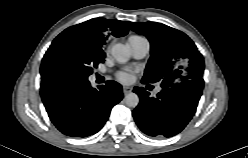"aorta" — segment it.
Returning a JSON list of instances; mask_svg holds the SVG:
<instances>
[{"instance_id": "obj_1", "label": "aorta", "mask_w": 248, "mask_h": 158, "mask_svg": "<svg viewBox=\"0 0 248 158\" xmlns=\"http://www.w3.org/2000/svg\"><path fill=\"white\" fill-rule=\"evenodd\" d=\"M111 54L119 63H126L131 56L129 49L121 43L113 45ZM138 103L139 97L136 93L131 92L125 96V104L127 106L135 108Z\"/></svg>"}]
</instances>
